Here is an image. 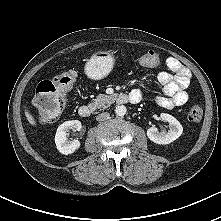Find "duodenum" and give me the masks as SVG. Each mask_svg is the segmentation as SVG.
Masks as SVG:
<instances>
[{"mask_svg": "<svg viewBox=\"0 0 221 221\" xmlns=\"http://www.w3.org/2000/svg\"><path fill=\"white\" fill-rule=\"evenodd\" d=\"M117 102L119 104H126L128 102H138L137 97L135 96H129L127 94H120L117 97ZM95 107L91 106V105H83L79 108L78 110V114L82 117V118H87L89 117L94 111H95Z\"/></svg>", "mask_w": 221, "mask_h": 221, "instance_id": "1", "label": "duodenum"}]
</instances>
